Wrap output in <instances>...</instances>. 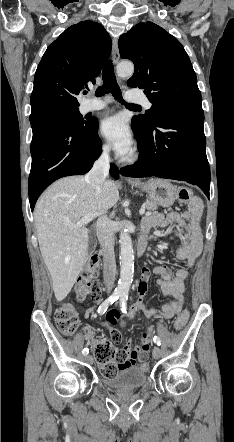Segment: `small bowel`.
I'll return each mask as SVG.
<instances>
[{
    "label": "small bowel",
    "mask_w": 234,
    "mask_h": 442,
    "mask_svg": "<svg viewBox=\"0 0 234 442\" xmlns=\"http://www.w3.org/2000/svg\"><path fill=\"white\" fill-rule=\"evenodd\" d=\"M203 212V204L199 198H195L183 212H170L167 215L152 214L143 221V227L146 232L155 228H165L167 226L175 227V237L181 240V246L175 251V258L185 263L184 268L176 270L174 274L165 265L156 266L153 272L159 276L157 284L165 296H170L173 300L162 306V311L158 314L152 308L147 307L145 296L148 291V282L151 275V269L148 265L142 268L141 279L138 283L139 298L133 305L134 311L141 312L148 318L159 317L161 319H170L179 314L184 305L185 281L188 277V269L197 261L202 249V235L199 221ZM120 313L112 310L106 315L100 317L99 326L105 331H110L112 341L115 344L121 342L122 334L115 322L119 319ZM126 322L121 323L125 328ZM152 330L142 334L141 347L132 346V340L129 339L121 351L126 355L127 368L135 369L136 364H141L142 359L147 360L150 357L148 349Z\"/></svg>",
    "instance_id": "obj_1"
}]
</instances>
